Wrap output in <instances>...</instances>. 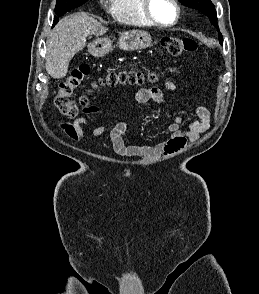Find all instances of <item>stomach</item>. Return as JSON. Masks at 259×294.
I'll list each match as a JSON object with an SVG mask.
<instances>
[{
  "label": "stomach",
  "instance_id": "stomach-1",
  "mask_svg": "<svg viewBox=\"0 0 259 294\" xmlns=\"http://www.w3.org/2000/svg\"><path fill=\"white\" fill-rule=\"evenodd\" d=\"M151 45V36L145 31L132 30L119 37V48L124 51L141 50ZM88 50L95 57L103 56L112 50V41L107 37L98 38L88 45Z\"/></svg>",
  "mask_w": 259,
  "mask_h": 294
}]
</instances>
